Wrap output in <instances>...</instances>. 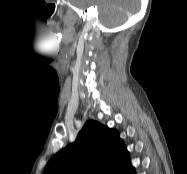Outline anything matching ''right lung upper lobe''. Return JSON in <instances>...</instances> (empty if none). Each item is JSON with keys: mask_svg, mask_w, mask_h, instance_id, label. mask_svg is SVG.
Wrapping results in <instances>:
<instances>
[{"mask_svg": "<svg viewBox=\"0 0 187 174\" xmlns=\"http://www.w3.org/2000/svg\"><path fill=\"white\" fill-rule=\"evenodd\" d=\"M133 171L118 131L88 121L75 142L51 158L43 174H130Z\"/></svg>", "mask_w": 187, "mask_h": 174, "instance_id": "right-lung-upper-lobe-1", "label": "right lung upper lobe"}]
</instances>
